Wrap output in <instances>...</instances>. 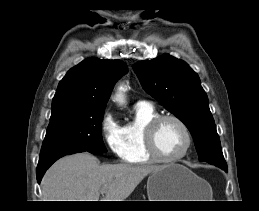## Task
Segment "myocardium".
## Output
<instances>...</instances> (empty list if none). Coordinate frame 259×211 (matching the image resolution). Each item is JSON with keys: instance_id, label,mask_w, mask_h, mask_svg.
Segmentation results:
<instances>
[{"instance_id": "1", "label": "myocardium", "mask_w": 259, "mask_h": 211, "mask_svg": "<svg viewBox=\"0 0 259 211\" xmlns=\"http://www.w3.org/2000/svg\"><path fill=\"white\" fill-rule=\"evenodd\" d=\"M166 120H172L176 122L183 130L186 137V146L183 151L174 157L163 156L156 144V133L158 127ZM144 143L147 153L153 160L172 163L183 159L191 150L193 145V137L187 124L178 116L174 114H162L153 118L144 128Z\"/></svg>"}]
</instances>
